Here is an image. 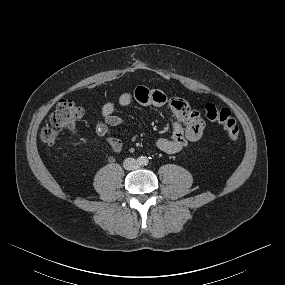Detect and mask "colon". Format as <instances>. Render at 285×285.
<instances>
[{"label": "colon", "instance_id": "1", "mask_svg": "<svg viewBox=\"0 0 285 285\" xmlns=\"http://www.w3.org/2000/svg\"><path fill=\"white\" fill-rule=\"evenodd\" d=\"M203 113L208 120L221 124L233 142L240 139L241 128L239 122L228 108L207 103L203 106ZM82 116L83 110L72 100L59 101L50 116L49 124L42 131V140L48 145L55 144L61 133L64 130H72Z\"/></svg>", "mask_w": 285, "mask_h": 285}]
</instances>
